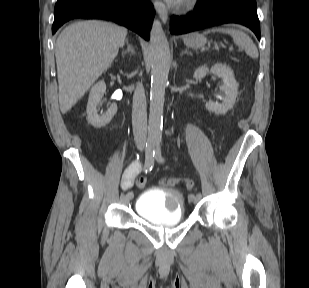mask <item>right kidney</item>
I'll return each mask as SVG.
<instances>
[{"instance_id":"right-kidney-1","label":"right kidney","mask_w":309,"mask_h":288,"mask_svg":"<svg viewBox=\"0 0 309 288\" xmlns=\"http://www.w3.org/2000/svg\"><path fill=\"white\" fill-rule=\"evenodd\" d=\"M106 92V84L104 81L96 83L91 91L88 98L87 104V120L88 123L96 128L106 126L117 113V105L111 104L109 109L102 116L98 115L97 107L101 102V99Z\"/></svg>"}]
</instances>
